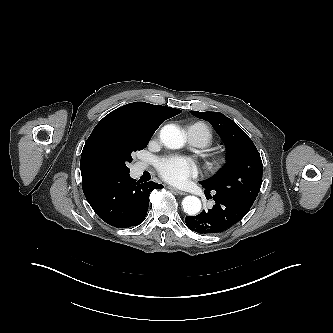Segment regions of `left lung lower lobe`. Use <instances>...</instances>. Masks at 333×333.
Instances as JSON below:
<instances>
[{
    "label": "left lung lower lobe",
    "mask_w": 333,
    "mask_h": 333,
    "mask_svg": "<svg viewBox=\"0 0 333 333\" xmlns=\"http://www.w3.org/2000/svg\"><path fill=\"white\" fill-rule=\"evenodd\" d=\"M204 187V186H203ZM205 194L210 190L204 187ZM215 205L208 211L203 210L197 216H187V227L200 234H216L226 231L239 222L250 210L249 203L226 194L215 192L213 196Z\"/></svg>",
    "instance_id": "left-lung-lower-lobe-1"
}]
</instances>
